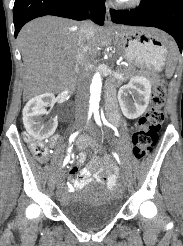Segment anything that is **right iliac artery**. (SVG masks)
I'll list each match as a JSON object with an SVG mask.
<instances>
[{"label":"right iliac artery","mask_w":183,"mask_h":246,"mask_svg":"<svg viewBox=\"0 0 183 246\" xmlns=\"http://www.w3.org/2000/svg\"><path fill=\"white\" fill-rule=\"evenodd\" d=\"M92 113H93V111L92 110H89V112H88V121L90 120V118H91V116H92ZM79 134V132H75V133H73L71 136H70V138H69V144H70V146H69V148H68V154H67V156H66V158H65V160H64V162H63V167L69 162V160H70V152H71V149H72V146H71V144H72V142L74 141V139L76 138V136Z\"/></svg>","instance_id":"82829eb1"}]
</instances>
